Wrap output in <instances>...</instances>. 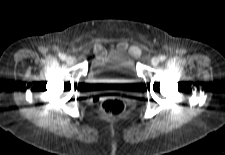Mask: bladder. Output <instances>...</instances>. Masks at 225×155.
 Masks as SVG:
<instances>
[{"label": "bladder", "mask_w": 225, "mask_h": 155, "mask_svg": "<svg viewBox=\"0 0 225 155\" xmlns=\"http://www.w3.org/2000/svg\"><path fill=\"white\" fill-rule=\"evenodd\" d=\"M90 77L116 84L132 94L140 89L135 62L124 50H112L97 57L92 64Z\"/></svg>", "instance_id": "31cf9c89"}]
</instances>
